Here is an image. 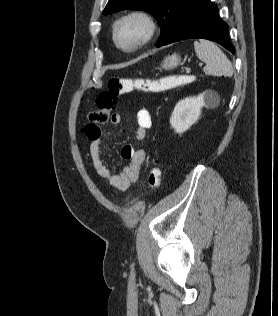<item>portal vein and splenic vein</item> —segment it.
Wrapping results in <instances>:
<instances>
[{
  "instance_id": "portal-vein-and-splenic-vein-1",
  "label": "portal vein and splenic vein",
  "mask_w": 278,
  "mask_h": 316,
  "mask_svg": "<svg viewBox=\"0 0 278 316\" xmlns=\"http://www.w3.org/2000/svg\"><path fill=\"white\" fill-rule=\"evenodd\" d=\"M199 65H200V66H202L203 64H202V63H200Z\"/></svg>"
}]
</instances>
